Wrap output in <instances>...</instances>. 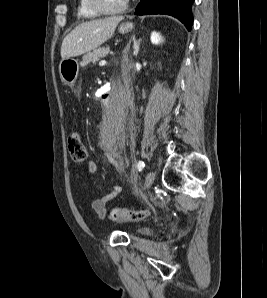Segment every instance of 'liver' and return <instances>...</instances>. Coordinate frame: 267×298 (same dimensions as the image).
Returning <instances> with one entry per match:
<instances>
[{
  "label": "liver",
  "instance_id": "obj_1",
  "mask_svg": "<svg viewBox=\"0 0 267 298\" xmlns=\"http://www.w3.org/2000/svg\"><path fill=\"white\" fill-rule=\"evenodd\" d=\"M123 17H109L87 21L76 26L63 40L62 60L80 56L96 49L114 33Z\"/></svg>",
  "mask_w": 267,
  "mask_h": 298
}]
</instances>
